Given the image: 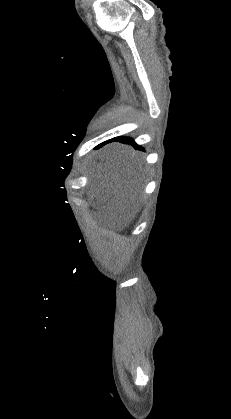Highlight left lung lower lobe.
Returning <instances> with one entry per match:
<instances>
[{"label":"left lung lower lobe","mask_w":231,"mask_h":419,"mask_svg":"<svg viewBox=\"0 0 231 419\" xmlns=\"http://www.w3.org/2000/svg\"><path fill=\"white\" fill-rule=\"evenodd\" d=\"M115 141L121 142V143H124V144H130V145H132L137 150H144L143 147L137 145L136 142L132 138H130V137H122V136L121 137H115L113 139H110L108 141H105V142L99 144L96 148H100V147L104 146L107 143L115 142Z\"/></svg>","instance_id":"0a47b994"}]
</instances>
